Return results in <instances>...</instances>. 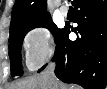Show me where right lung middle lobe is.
<instances>
[{"instance_id": "right-lung-middle-lobe-1", "label": "right lung middle lobe", "mask_w": 107, "mask_h": 89, "mask_svg": "<svg viewBox=\"0 0 107 89\" xmlns=\"http://www.w3.org/2000/svg\"><path fill=\"white\" fill-rule=\"evenodd\" d=\"M36 27H45L54 35L55 42L57 41L62 29H59L51 20V17L32 21L14 28H10L9 37V57L11 61V72L14 76L23 74L21 64V46L24 36L27 32Z\"/></svg>"}]
</instances>
